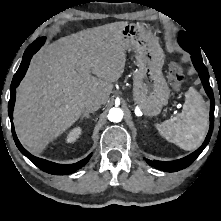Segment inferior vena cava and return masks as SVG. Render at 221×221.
Returning a JSON list of instances; mask_svg holds the SVG:
<instances>
[{
    "label": "inferior vena cava",
    "mask_w": 221,
    "mask_h": 221,
    "mask_svg": "<svg viewBox=\"0 0 221 221\" xmlns=\"http://www.w3.org/2000/svg\"><path fill=\"white\" fill-rule=\"evenodd\" d=\"M102 105V100L96 97L93 98H89L86 102H85V107L87 110L90 111H96L98 110Z\"/></svg>",
    "instance_id": "1"
}]
</instances>
